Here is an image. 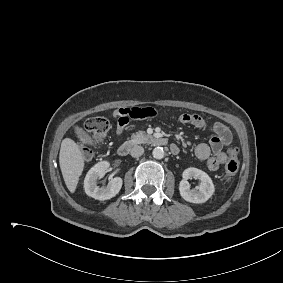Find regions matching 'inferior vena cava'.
I'll return each instance as SVG.
<instances>
[{
  "label": "inferior vena cava",
  "mask_w": 283,
  "mask_h": 283,
  "mask_svg": "<svg viewBox=\"0 0 283 283\" xmlns=\"http://www.w3.org/2000/svg\"><path fill=\"white\" fill-rule=\"evenodd\" d=\"M143 153H144V148L141 146H134L130 151L131 156L134 158L140 157Z\"/></svg>",
  "instance_id": "obj_1"
}]
</instances>
